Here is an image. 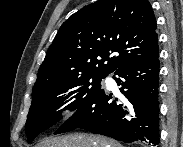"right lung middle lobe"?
<instances>
[{
    "label": "right lung middle lobe",
    "mask_w": 183,
    "mask_h": 147,
    "mask_svg": "<svg viewBox=\"0 0 183 147\" xmlns=\"http://www.w3.org/2000/svg\"><path fill=\"white\" fill-rule=\"evenodd\" d=\"M106 76L88 75L59 81L32 91L25 131L29 142L62 119L61 112L74 111L101 89Z\"/></svg>",
    "instance_id": "dd1d6c3e"
}]
</instances>
